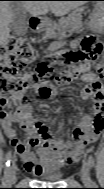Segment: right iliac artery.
Returning a JSON list of instances; mask_svg holds the SVG:
<instances>
[{
	"label": "right iliac artery",
	"mask_w": 104,
	"mask_h": 189,
	"mask_svg": "<svg viewBox=\"0 0 104 189\" xmlns=\"http://www.w3.org/2000/svg\"><path fill=\"white\" fill-rule=\"evenodd\" d=\"M12 160V154L9 151L6 156H5V161H4V165H5V171H4V178H3V182L7 183L8 182V178H7V174H8V168L10 166V162Z\"/></svg>",
	"instance_id": "obj_1"
}]
</instances>
